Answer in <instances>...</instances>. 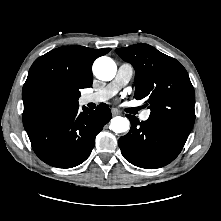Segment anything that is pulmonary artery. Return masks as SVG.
<instances>
[{"instance_id": "pulmonary-artery-1", "label": "pulmonary artery", "mask_w": 221, "mask_h": 221, "mask_svg": "<svg viewBox=\"0 0 221 221\" xmlns=\"http://www.w3.org/2000/svg\"><path fill=\"white\" fill-rule=\"evenodd\" d=\"M133 75V67L128 63H122L118 70L115 78L102 89L86 94L82 97L84 104L89 103H101L112 98L122 87L127 85ZM150 116V110L144 111L140 118L145 121Z\"/></svg>"}]
</instances>
